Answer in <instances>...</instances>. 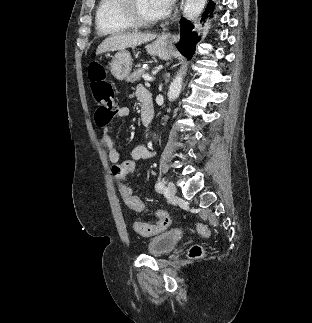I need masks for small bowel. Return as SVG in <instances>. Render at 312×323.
Segmentation results:
<instances>
[{"label":"small bowel","mask_w":312,"mask_h":323,"mask_svg":"<svg viewBox=\"0 0 312 323\" xmlns=\"http://www.w3.org/2000/svg\"><path fill=\"white\" fill-rule=\"evenodd\" d=\"M146 94V91L143 87H139L136 91V98L142 101V98ZM130 115V108L126 106L119 107L114 120L128 117ZM110 126L107 125L103 128V136L101 138V144L107 149V157L111 165L122 164L120 163V154L114 147V141L109 136ZM155 151L147 145H137L131 151V158H137V161L140 160H149L153 158ZM124 179V178H123ZM140 199V198H139ZM130 209V206H127ZM131 210V209H130ZM147 211V210H145Z\"/></svg>","instance_id":"obj_1"}]
</instances>
